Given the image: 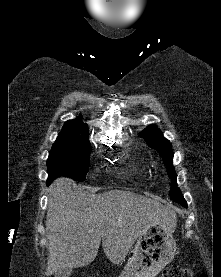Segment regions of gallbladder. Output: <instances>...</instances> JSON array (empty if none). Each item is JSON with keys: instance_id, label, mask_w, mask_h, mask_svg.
<instances>
[{"instance_id": "gallbladder-1", "label": "gallbladder", "mask_w": 221, "mask_h": 277, "mask_svg": "<svg viewBox=\"0 0 221 277\" xmlns=\"http://www.w3.org/2000/svg\"><path fill=\"white\" fill-rule=\"evenodd\" d=\"M72 268H63L55 273L54 277H70Z\"/></svg>"}]
</instances>
